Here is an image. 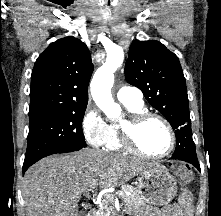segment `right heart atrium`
<instances>
[{
    "instance_id": "right-heart-atrium-1",
    "label": "right heart atrium",
    "mask_w": 221,
    "mask_h": 216,
    "mask_svg": "<svg viewBox=\"0 0 221 216\" xmlns=\"http://www.w3.org/2000/svg\"><path fill=\"white\" fill-rule=\"evenodd\" d=\"M81 129L85 140L93 147L99 148L105 144L108 124L91 103L87 105L82 116Z\"/></svg>"
}]
</instances>
